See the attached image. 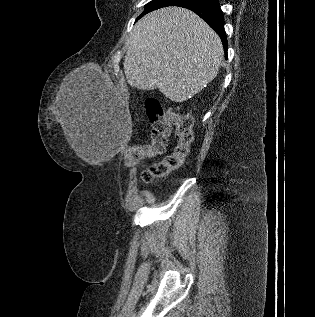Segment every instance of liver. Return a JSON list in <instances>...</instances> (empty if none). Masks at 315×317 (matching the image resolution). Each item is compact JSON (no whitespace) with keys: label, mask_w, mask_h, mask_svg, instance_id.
Here are the masks:
<instances>
[{"label":"liver","mask_w":315,"mask_h":317,"mask_svg":"<svg viewBox=\"0 0 315 317\" xmlns=\"http://www.w3.org/2000/svg\"><path fill=\"white\" fill-rule=\"evenodd\" d=\"M222 59L221 40L205 21L190 10L166 7L135 24L123 66L130 86L158 88L170 100L183 102L217 76ZM57 118L68 143L84 158L82 117L67 85L61 89Z\"/></svg>","instance_id":"6515ba94"}]
</instances>
